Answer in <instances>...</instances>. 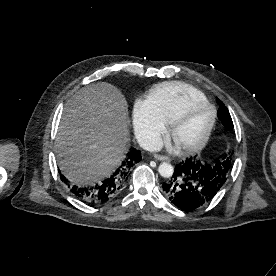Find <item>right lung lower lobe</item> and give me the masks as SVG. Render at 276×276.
Instances as JSON below:
<instances>
[{"label": "right lung lower lobe", "mask_w": 276, "mask_h": 276, "mask_svg": "<svg viewBox=\"0 0 276 276\" xmlns=\"http://www.w3.org/2000/svg\"><path fill=\"white\" fill-rule=\"evenodd\" d=\"M141 159V151L136 149L130 150L121 165L110 177L91 187L81 188L75 185L71 186V192L79 200L89 204L106 202L124 186L131 173L132 167L140 162ZM61 179L67 182L63 176H61Z\"/></svg>", "instance_id": "right-lung-lower-lobe-1"}]
</instances>
